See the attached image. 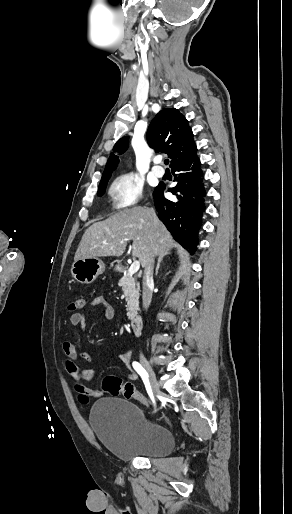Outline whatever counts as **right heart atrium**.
Returning a JSON list of instances; mask_svg holds the SVG:
<instances>
[{
	"label": "right heart atrium",
	"mask_w": 292,
	"mask_h": 514,
	"mask_svg": "<svg viewBox=\"0 0 292 514\" xmlns=\"http://www.w3.org/2000/svg\"><path fill=\"white\" fill-rule=\"evenodd\" d=\"M143 177L136 171H124L116 175L108 186V196L114 209L132 207L142 197Z\"/></svg>",
	"instance_id": "obj_1"
}]
</instances>
